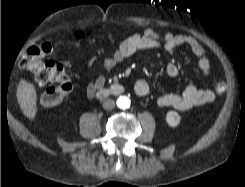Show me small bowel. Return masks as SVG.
Returning a JSON list of instances; mask_svg holds the SVG:
<instances>
[{
	"mask_svg": "<svg viewBox=\"0 0 245 187\" xmlns=\"http://www.w3.org/2000/svg\"><path fill=\"white\" fill-rule=\"evenodd\" d=\"M188 46L198 58V65L202 76L206 77L212 73V65L206 56L202 45L192 36L184 34L160 33L154 29H146L140 34L128 36L109 57L103 60V73L98 76L87 87V95L93 97L103 88L106 77L114 68L136 52L148 49H163L168 53H173L180 46ZM94 59L91 61V63ZM167 74L176 78L179 76V68L174 63L166 66ZM137 95L143 97L149 93V84L144 79H139L134 85ZM214 99L213 93L208 89H200L194 83L188 82L182 93L165 94L159 96L156 104L159 107H171L179 111H186L193 107L210 103Z\"/></svg>",
	"mask_w": 245,
	"mask_h": 187,
	"instance_id": "c3829d8e",
	"label": "small bowel"
}]
</instances>
